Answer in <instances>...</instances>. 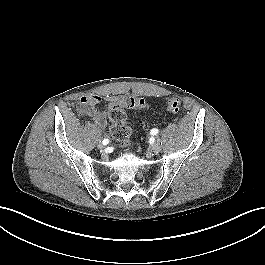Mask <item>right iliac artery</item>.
I'll return each mask as SVG.
<instances>
[{
  "instance_id": "right-iliac-artery-1",
  "label": "right iliac artery",
  "mask_w": 265,
  "mask_h": 265,
  "mask_svg": "<svg viewBox=\"0 0 265 265\" xmlns=\"http://www.w3.org/2000/svg\"><path fill=\"white\" fill-rule=\"evenodd\" d=\"M109 143V140L108 139H104L103 141H102V144L103 145H107Z\"/></svg>"
}]
</instances>
